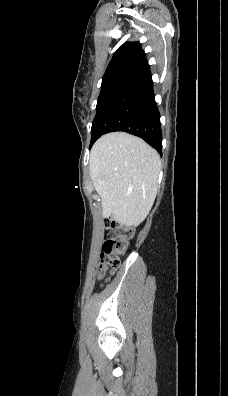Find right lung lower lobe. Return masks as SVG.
<instances>
[{
    "label": "right lung lower lobe",
    "mask_w": 228,
    "mask_h": 396,
    "mask_svg": "<svg viewBox=\"0 0 228 396\" xmlns=\"http://www.w3.org/2000/svg\"><path fill=\"white\" fill-rule=\"evenodd\" d=\"M114 131L141 137L162 153L160 114L150 70L126 86L104 110L95 125L90 148L101 135Z\"/></svg>",
    "instance_id": "98d812e1"
}]
</instances>
